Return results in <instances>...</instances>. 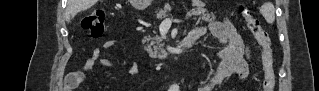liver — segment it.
Masks as SVG:
<instances>
[{
    "label": "liver",
    "instance_id": "1",
    "mask_svg": "<svg viewBox=\"0 0 319 91\" xmlns=\"http://www.w3.org/2000/svg\"><path fill=\"white\" fill-rule=\"evenodd\" d=\"M96 2L97 0H70L68 12L73 18L77 13L89 9Z\"/></svg>",
    "mask_w": 319,
    "mask_h": 91
}]
</instances>
